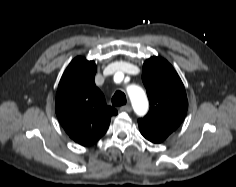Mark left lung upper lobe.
Returning <instances> with one entry per match:
<instances>
[{"label": "left lung upper lobe", "mask_w": 236, "mask_h": 187, "mask_svg": "<svg viewBox=\"0 0 236 187\" xmlns=\"http://www.w3.org/2000/svg\"><path fill=\"white\" fill-rule=\"evenodd\" d=\"M142 81L150 109L138 120L141 134L153 143L163 142L185 118L188 101L184 85L165 59L151 57L144 62Z\"/></svg>", "instance_id": "1"}]
</instances>
